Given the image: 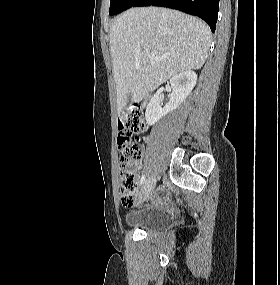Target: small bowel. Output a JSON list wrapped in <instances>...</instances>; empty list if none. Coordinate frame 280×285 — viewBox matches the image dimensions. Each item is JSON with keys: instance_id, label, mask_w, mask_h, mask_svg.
<instances>
[{"instance_id": "small-bowel-1", "label": "small bowel", "mask_w": 280, "mask_h": 285, "mask_svg": "<svg viewBox=\"0 0 280 285\" xmlns=\"http://www.w3.org/2000/svg\"><path fill=\"white\" fill-rule=\"evenodd\" d=\"M161 191L160 192H157V193H154L151 195V201L153 204L155 205H163L166 203V201L164 200V198L162 197L161 195Z\"/></svg>"}]
</instances>
